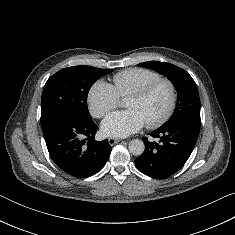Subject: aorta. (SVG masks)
I'll list each match as a JSON object with an SVG mask.
<instances>
[{"label":"aorta","instance_id":"1","mask_svg":"<svg viewBox=\"0 0 235 235\" xmlns=\"http://www.w3.org/2000/svg\"><path fill=\"white\" fill-rule=\"evenodd\" d=\"M129 152L134 156H140L145 150V145L142 140L133 139L129 142Z\"/></svg>","mask_w":235,"mask_h":235}]
</instances>
